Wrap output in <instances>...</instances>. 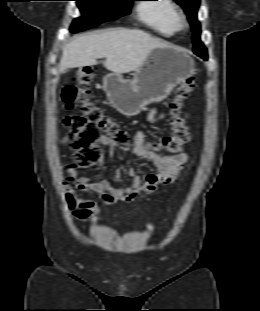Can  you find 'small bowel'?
Instances as JSON below:
<instances>
[{
	"instance_id": "1",
	"label": "small bowel",
	"mask_w": 260,
	"mask_h": 311,
	"mask_svg": "<svg viewBox=\"0 0 260 311\" xmlns=\"http://www.w3.org/2000/svg\"><path fill=\"white\" fill-rule=\"evenodd\" d=\"M165 117V112H159L156 109H151L148 113V120L151 123H158ZM102 145L108 148L111 155H115L120 148L118 143L109 138H105ZM132 151L136 158L143 159L153 165L156 172L147 174L142 178L133 167H130L127 170L130 183L126 186L116 185L120 179L119 168L115 171L112 179L94 181L86 176H76L79 171L77 165L69 164L66 166L63 186L66 191L68 207L73 211L76 219L86 222L90 216L99 211V206L95 201L79 198V192L97 194L106 205H114L118 202L131 203L137 198L154 193L159 185L172 183L189 159L185 152L162 156L151 151L146 146V135L140 130L134 135ZM71 182L74 183V187L70 185Z\"/></svg>"
}]
</instances>
